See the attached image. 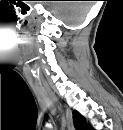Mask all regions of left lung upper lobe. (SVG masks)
Returning <instances> with one entry per match:
<instances>
[{
  "mask_svg": "<svg viewBox=\"0 0 123 130\" xmlns=\"http://www.w3.org/2000/svg\"><path fill=\"white\" fill-rule=\"evenodd\" d=\"M73 120L77 130H88L86 120L77 111H73Z\"/></svg>",
  "mask_w": 123,
  "mask_h": 130,
  "instance_id": "left-lung-upper-lobe-1",
  "label": "left lung upper lobe"
}]
</instances>
